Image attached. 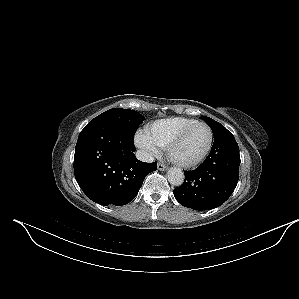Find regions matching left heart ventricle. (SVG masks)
<instances>
[{
    "instance_id": "1",
    "label": "left heart ventricle",
    "mask_w": 299,
    "mask_h": 299,
    "mask_svg": "<svg viewBox=\"0 0 299 299\" xmlns=\"http://www.w3.org/2000/svg\"><path fill=\"white\" fill-rule=\"evenodd\" d=\"M209 140V132L205 126L193 128L175 148L174 155L182 161H191L199 157L205 150Z\"/></svg>"
}]
</instances>
